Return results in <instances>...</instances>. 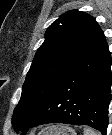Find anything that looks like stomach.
I'll return each mask as SVG.
<instances>
[{
  "mask_svg": "<svg viewBox=\"0 0 112 135\" xmlns=\"http://www.w3.org/2000/svg\"><path fill=\"white\" fill-rule=\"evenodd\" d=\"M45 135H76V133L69 127L64 125L52 126Z\"/></svg>",
  "mask_w": 112,
  "mask_h": 135,
  "instance_id": "obj_1",
  "label": "stomach"
}]
</instances>
